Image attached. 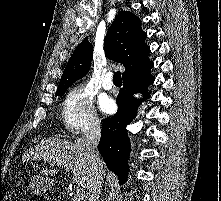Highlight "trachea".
Wrapping results in <instances>:
<instances>
[{
	"instance_id": "obj_1",
	"label": "trachea",
	"mask_w": 221,
	"mask_h": 201,
	"mask_svg": "<svg viewBox=\"0 0 221 201\" xmlns=\"http://www.w3.org/2000/svg\"><path fill=\"white\" fill-rule=\"evenodd\" d=\"M113 81L114 83H122L121 73L120 71H117L113 75Z\"/></svg>"
}]
</instances>
